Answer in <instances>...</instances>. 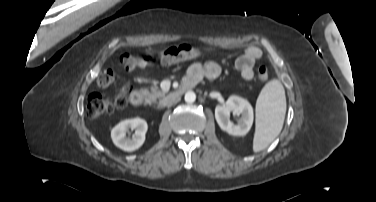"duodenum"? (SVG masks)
I'll list each match as a JSON object with an SVG mask.
<instances>
[{"label":"duodenum","mask_w":376,"mask_h":202,"mask_svg":"<svg viewBox=\"0 0 376 202\" xmlns=\"http://www.w3.org/2000/svg\"><path fill=\"white\" fill-rule=\"evenodd\" d=\"M190 87H192L190 84L183 83V85L173 93L174 99L180 98ZM166 99L167 98H165L164 101ZM129 102L134 107L140 106L143 103V94L137 90L132 91L129 96Z\"/></svg>","instance_id":"1"}]
</instances>
